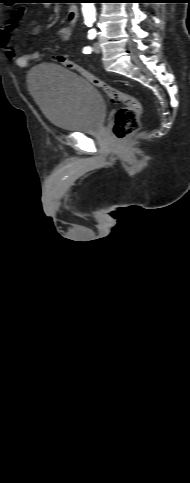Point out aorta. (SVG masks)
<instances>
[{
	"mask_svg": "<svg viewBox=\"0 0 190 483\" xmlns=\"http://www.w3.org/2000/svg\"><path fill=\"white\" fill-rule=\"evenodd\" d=\"M82 12L86 21H94L95 19L94 3H82Z\"/></svg>",
	"mask_w": 190,
	"mask_h": 483,
	"instance_id": "762f6f07",
	"label": "aorta"
}]
</instances>
